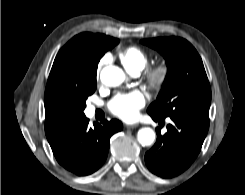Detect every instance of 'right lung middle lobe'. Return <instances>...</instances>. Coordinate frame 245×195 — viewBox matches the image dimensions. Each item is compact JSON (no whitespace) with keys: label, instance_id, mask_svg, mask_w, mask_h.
Listing matches in <instances>:
<instances>
[{"label":"right lung middle lobe","instance_id":"1","mask_svg":"<svg viewBox=\"0 0 245 195\" xmlns=\"http://www.w3.org/2000/svg\"><path fill=\"white\" fill-rule=\"evenodd\" d=\"M118 42V39H114L107 43L98 56L73 57L64 68L61 76L63 93L80 113L84 114L82 111L86 107V99L96 90V73L100 58Z\"/></svg>","mask_w":245,"mask_h":195}]
</instances>
